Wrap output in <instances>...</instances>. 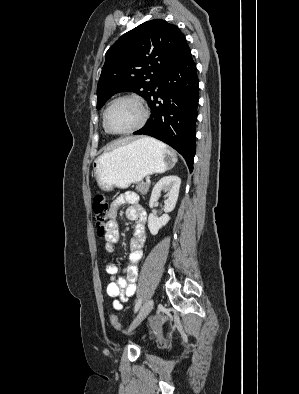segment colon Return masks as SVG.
<instances>
[{"instance_id":"5ec220e1","label":"colon","mask_w":299,"mask_h":394,"mask_svg":"<svg viewBox=\"0 0 299 394\" xmlns=\"http://www.w3.org/2000/svg\"><path fill=\"white\" fill-rule=\"evenodd\" d=\"M93 213H94V220H95V225L97 232L99 234L104 233L105 231V226L108 220V214H109V205L106 196L101 193L97 192L93 198ZM111 324L116 330L121 329V325L119 322V319L117 315L113 314L111 316Z\"/></svg>"}]
</instances>
